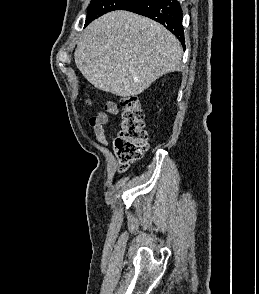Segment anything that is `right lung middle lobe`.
I'll return each instance as SVG.
<instances>
[{
	"mask_svg": "<svg viewBox=\"0 0 259 294\" xmlns=\"http://www.w3.org/2000/svg\"><path fill=\"white\" fill-rule=\"evenodd\" d=\"M134 1L135 0H91L89 7L87 8L88 14L85 26L93 19H96L107 12L120 10L125 5Z\"/></svg>",
	"mask_w": 259,
	"mask_h": 294,
	"instance_id": "obj_1",
	"label": "right lung middle lobe"
}]
</instances>
